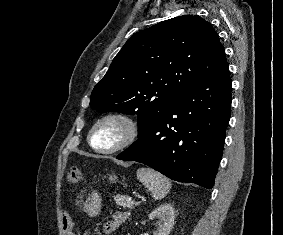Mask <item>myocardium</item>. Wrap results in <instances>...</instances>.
Returning <instances> with one entry per match:
<instances>
[{"label":"myocardium","mask_w":283,"mask_h":235,"mask_svg":"<svg viewBox=\"0 0 283 235\" xmlns=\"http://www.w3.org/2000/svg\"><path fill=\"white\" fill-rule=\"evenodd\" d=\"M109 121L120 122L124 126V135L118 143L109 148L98 147L93 142V136L102 124ZM139 134L140 126L133 116L122 111H114L102 115L95 121L89 130L88 142L96 152L101 154H114L131 146L138 139Z\"/></svg>","instance_id":"1"}]
</instances>
